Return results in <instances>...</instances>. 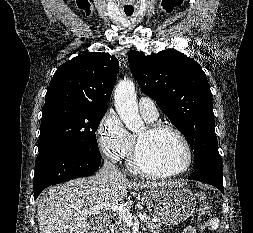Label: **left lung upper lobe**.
<instances>
[{
  "mask_svg": "<svg viewBox=\"0 0 253 233\" xmlns=\"http://www.w3.org/2000/svg\"><path fill=\"white\" fill-rule=\"evenodd\" d=\"M130 70L145 94L180 130L194 150V168H223L217 149L212 93L201 66L183 53L167 49L144 55L132 50Z\"/></svg>",
  "mask_w": 253,
  "mask_h": 233,
  "instance_id": "5c2ea615",
  "label": "left lung upper lobe"
}]
</instances>
